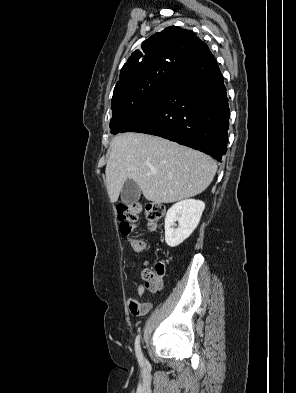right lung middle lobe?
<instances>
[{
    "label": "right lung middle lobe",
    "mask_w": 296,
    "mask_h": 393,
    "mask_svg": "<svg viewBox=\"0 0 296 393\" xmlns=\"http://www.w3.org/2000/svg\"><path fill=\"white\" fill-rule=\"evenodd\" d=\"M172 77L150 80L140 94L129 100L111 104L113 117L110 122L111 133H119L122 128L154 103L162 90L173 82Z\"/></svg>",
    "instance_id": "dd1d6c3e"
}]
</instances>
